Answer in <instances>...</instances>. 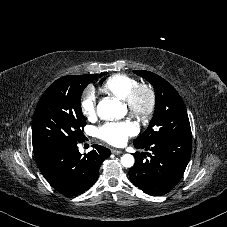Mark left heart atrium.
<instances>
[{"label": "left heart atrium", "instance_id": "39dd6f15", "mask_svg": "<svg viewBox=\"0 0 227 227\" xmlns=\"http://www.w3.org/2000/svg\"><path fill=\"white\" fill-rule=\"evenodd\" d=\"M135 134L136 129L128 122L107 123L98 129V136L114 146L124 145Z\"/></svg>", "mask_w": 227, "mask_h": 227}]
</instances>
